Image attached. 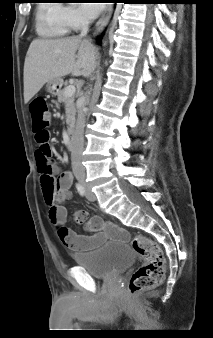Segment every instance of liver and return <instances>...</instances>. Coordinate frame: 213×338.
I'll return each mask as SVG.
<instances>
[{
    "label": "liver",
    "mask_w": 213,
    "mask_h": 338,
    "mask_svg": "<svg viewBox=\"0 0 213 338\" xmlns=\"http://www.w3.org/2000/svg\"><path fill=\"white\" fill-rule=\"evenodd\" d=\"M95 68L96 48L90 40L35 39L24 63V102L27 104L49 81L68 74L87 78Z\"/></svg>",
    "instance_id": "liver-1"
}]
</instances>
